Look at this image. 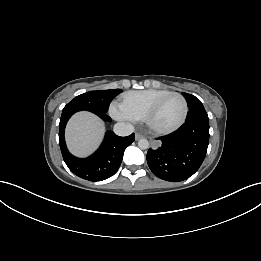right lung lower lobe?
<instances>
[{
    "mask_svg": "<svg viewBox=\"0 0 261 261\" xmlns=\"http://www.w3.org/2000/svg\"><path fill=\"white\" fill-rule=\"evenodd\" d=\"M77 109L63 110L59 123V144L63 159L68 168L78 177L89 181L105 180L116 173L123 159L124 150L135 138L134 134L127 137L117 136L108 131L100 148L88 158L80 159L73 156L66 147L64 139L65 126ZM105 121L111 119L105 113H95Z\"/></svg>",
    "mask_w": 261,
    "mask_h": 261,
    "instance_id": "right-lung-lower-lobe-1",
    "label": "right lung lower lobe"
}]
</instances>
